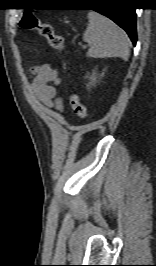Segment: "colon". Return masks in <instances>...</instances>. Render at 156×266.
Masks as SVG:
<instances>
[{
    "label": "colon",
    "instance_id": "colon-1",
    "mask_svg": "<svg viewBox=\"0 0 156 266\" xmlns=\"http://www.w3.org/2000/svg\"><path fill=\"white\" fill-rule=\"evenodd\" d=\"M20 26L25 30L37 31L41 37L48 41L53 49L58 51L65 49L64 38L55 32L51 24L41 21L33 12L28 11L23 14ZM69 102L74 114L78 118L85 119L87 117V109L75 92L70 93Z\"/></svg>",
    "mask_w": 156,
    "mask_h": 266
}]
</instances>
